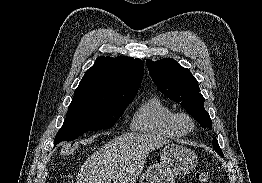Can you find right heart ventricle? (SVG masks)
Listing matches in <instances>:
<instances>
[{
	"instance_id": "obj_1",
	"label": "right heart ventricle",
	"mask_w": 262,
	"mask_h": 183,
	"mask_svg": "<svg viewBox=\"0 0 262 183\" xmlns=\"http://www.w3.org/2000/svg\"><path fill=\"white\" fill-rule=\"evenodd\" d=\"M175 111L159 97L153 96L135 111L131 127L134 131L168 139L184 135L175 124Z\"/></svg>"
}]
</instances>
